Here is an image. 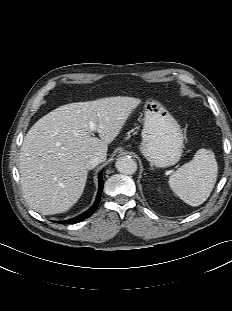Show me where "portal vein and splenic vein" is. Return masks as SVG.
<instances>
[{"mask_svg":"<svg viewBox=\"0 0 232 311\" xmlns=\"http://www.w3.org/2000/svg\"><path fill=\"white\" fill-rule=\"evenodd\" d=\"M89 127L92 132L96 130V125L94 124V122H90Z\"/></svg>","mask_w":232,"mask_h":311,"instance_id":"portal-vein-and-splenic-vein-1","label":"portal vein and splenic vein"}]
</instances>
